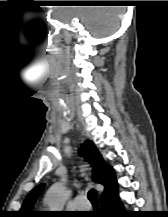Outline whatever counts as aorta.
Listing matches in <instances>:
<instances>
[{
	"mask_svg": "<svg viewBox=\"0 0 168 217\" xmlns=\"http://www.w3.org/2000/svg\"><path fill=\"white\" fill-rule=\"evenodd\" d=\"M67 199V191L63 183L53 184L45 196V202L50 211H62Z\"/></svg>",
	"mask_w": 168,
	"mask_h": 217,
	"instance_id": "1",
	"label": "aorta"
}]
</instances>
